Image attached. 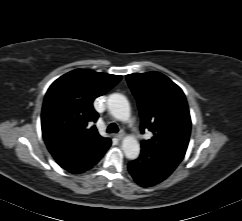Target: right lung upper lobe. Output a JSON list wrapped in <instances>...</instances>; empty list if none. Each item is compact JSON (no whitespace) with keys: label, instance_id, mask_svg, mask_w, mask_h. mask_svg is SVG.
Wrapping results in <instances>:
<instances>
[{"label":"right lung upper lobe","instance_id":"obj_1","mask_svg":"<svg viewBox=\"0 0 242 221\" xmlns=\"http://www.w3.org/2000/svg\"><path fill=\"white\" fill-rule=\"evenodd\" d=\"M121 76L77 69L49 87L42 108V135L56 162L73 173L92 167L110 147L93 125V101L114 87Z\"/></svg>","mask_w":242,"mask_h":221}]
</instances>
